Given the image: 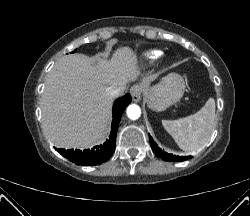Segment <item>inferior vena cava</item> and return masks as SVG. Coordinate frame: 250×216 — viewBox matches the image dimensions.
Instances as JSON below:
<instances>
[{
    "mask_svg": "<svg viewBox=\"0 0 250 216\" xmlns=\"http://www.w3.org/2000/svg\"><path fill=\"white\" fill-rule=\"evenodd\" d=\"M123 93V90L116 86H110L107 88V94L111 97H118Z\"/></svg>",
    "mask_w": 250,
    "mask_h": 216,
    "instance_id": "1",
    "label": "inferior vena cava"
}]
</instances>
